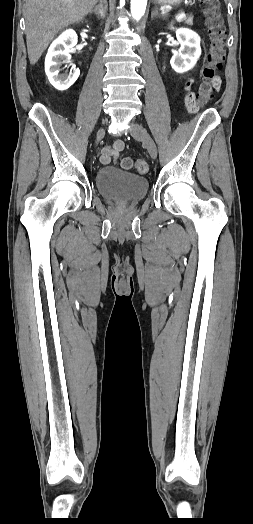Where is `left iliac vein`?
<instances>
[{
    "label": "left iliac vein",
    "mask_w": 253,
    "mask_h": 524,
    "mask_svg": "<svg viewBox=\"0 0 253 524\" xmlns=\"http://www.w3.org/2000/svg\"><path fill=\"white\" fill-rule=\"evenodd\" d=\"M131 135L134 138L142 141V143L144 144V146L146 147V149L148 150L152 158L157 157L156 144L154 140L152 139V137L150 136V134L147 132V130L142 125L138 123H132Z\"/></svg>",
    "instance_id": "4c4485c4"
}]
</instances>
